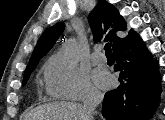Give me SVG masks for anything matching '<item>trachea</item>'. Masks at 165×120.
Masks as SVG:
<instances>
[{"label": "trachea", "instance_id": "trachea-1", "mask_svg": "<svg viewBox=\"0 0 165 120\" xmlns=\"http://www.w3.org/2000/svg\"><path fill=\"white\" fill-rule=\"evenodd\" d=\"M104 50L106 54H112L110 43H106L104 46Z\"/></svg>", "mask_w": 165, "mask_h": 120}]
</instances>
